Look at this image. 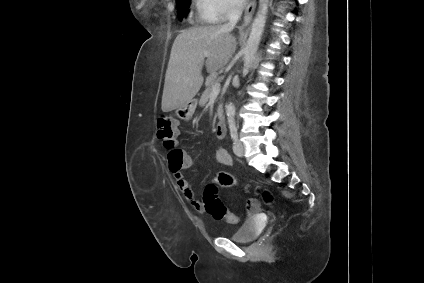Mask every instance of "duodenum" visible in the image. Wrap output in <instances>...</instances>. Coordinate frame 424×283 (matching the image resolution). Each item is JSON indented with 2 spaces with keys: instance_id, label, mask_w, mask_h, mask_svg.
<instances>
[{
  "instance_id": "duodenum-1",
  "label": "duodenum",
  "mask_w": 424,
  "mask_h": 283,
  "mask_svg": "<svg viewBox=\"0 0 424 283\" xmlns=\"http://www.w3.org/2000/svg\"><path fill=\"white\" fill-rule=\"evenodd\" d=\"M225 129H226L225 117L224 116H220L218 118V121H217V124H216V128H215L216 135L219 138L224 137V135H225Z\"/></svg>"
}]
</instances>
